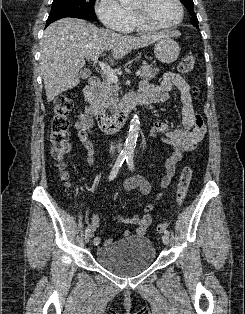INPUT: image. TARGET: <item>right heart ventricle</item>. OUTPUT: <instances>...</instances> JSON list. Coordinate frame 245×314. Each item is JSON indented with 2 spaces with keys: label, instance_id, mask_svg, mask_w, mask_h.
Here are the masks:
<instances>
[{
  "label": "right heart ventricle",
  "instance_id": "obj_1",
  "mask_svg": "<svg viewBox=\"0 0 245 314\" xmlns=\"http://www.w3.org/2000/svg\"><path fill=\"white\" fill-rule=\"evenodd\" d=\"M129 11V21L127 24V27L125 28L124 31L126 32H130V31H146V30H151L149 28L143 27L141 25H139L138 23L135 22L132 12L130 10Z\"/></svg>",
  "mask_w": 245,
  "mask_h": 314
}]
</instances>
